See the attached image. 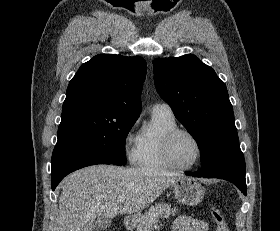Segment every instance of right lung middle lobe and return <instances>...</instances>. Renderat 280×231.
<instances>
[{"mask_svg": "<svg viewBox=\"0 0 280 231\" xmlns=\"http://www.w3.org/2000/svg\"><path fill=\"white\" fill-rule=\"evenodd\" d=\"M135 119L91 117L61 120L54 151H76L125 165L126 137Z\"/></svg>", "mask_w": 280, "mask_h": 231, "instance_id": "right-lung-middle-lobe-1", "label": "right lung middle lobe"}]
</instances>
